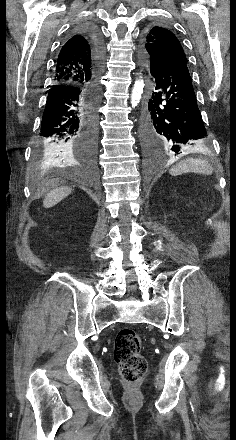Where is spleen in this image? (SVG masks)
Wrapping results in <instances>:
<instances>
[{
    "label": "spleen",
    "mask_w": 236,
    "mask_h": 440,
    "mask_svg": "<svg viewBox=\"0 0 236 440\" xmlns=\"http://www.w3.org/2000/svg\"><path fill=\"white\" fill-rule=\"evenodd\" d=\"M169 172L171 175L174 176L186 172H195L202 173L204 175H210L213 173V167L205 159L190 158L177 163L170 169Z\"/></svg>",
    "instance_id": "1"
}]
</instances>
